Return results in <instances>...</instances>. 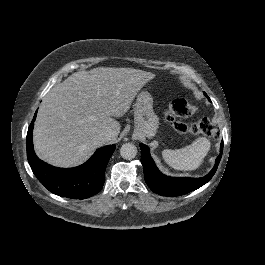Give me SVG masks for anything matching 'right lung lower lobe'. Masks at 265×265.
I'll return each instance as SVG.
<instances>
[{
	"instance_id": "obj_1",
	"label": "right lung lower lobe",
	"mask_w": 265,
	"mask_h": 265,
	"mask_svg": "<svg viewBox=\"0 0 265 265\" xmlns=\"http://www.w3.org/2000/svg\"><path fill=\"white\" fill-rule=\"evenodd\" d=\"M36 113L28 128L26 147L28 162L37 179L47 190L61 197L86 199L97 194L103 187L105 169L115 145L99 148L86 163L75 168L51 166L40 160L33 149Z\"/></svg>"
}]
</instances>
